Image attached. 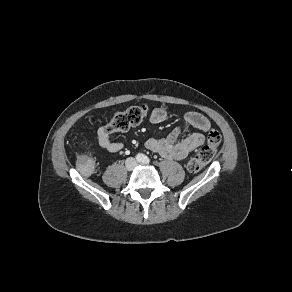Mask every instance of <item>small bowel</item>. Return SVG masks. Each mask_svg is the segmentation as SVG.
Listing matches in <instances>:
<instances>
[{"label": "small bowel", "mask_w": 292, "mask_h": 292, "mask_svg": "<svg viewBox=\"0 0 292 292\" xmlns=\"http://www.w3.org/2000/svg\"><path fill=\"white\" fill-rule=\"evenodd\" d=\"M167 119V111L164 108H156L150 115L153 124H161ZM189 127L195 129L186 138L176 141L182 130ZM210 129L209 120L198 112H188L184 115L182 123L175 127L165 138H150L146 141V147L167 159L181 160L186 158L205 141V134ZM99 145L110 153H118L123 150V144L112 141L106 127L101 126L97 131Z\"/></svg>", "instance_id": "obj_1"}]
</instances>
